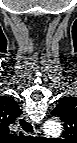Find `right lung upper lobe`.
<instances>
[{"instance_id":"right-lung-upper-lobe-1","label":"right lung upper lobe","mask_w":77,"mask_h":143,"mask_svg":"<svg viewBox=\"0 0 77 143\" xmlns=\"http://www.w3.org/2000/svg\"><path fill=\"white\" fill-rule=\"evenodd\" d=\"M22 114L17 103L8 97H0V128L9 133L8 126Z\"/></svg>"}]
</instances>
